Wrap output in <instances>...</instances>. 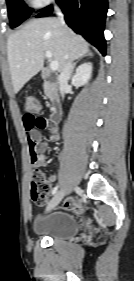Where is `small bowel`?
Listing matches in <instances>:
<instances>
[{
	"label": "small bowel",
	"mask_w": 134,
	"mask_h": 281,
	"mask_svg": "<svg viewBox=\"0 0 134 281\" xmlns=\"http://www.w3.org/2000/svg\"><path fill=\"white\" fill-rule=\"evenodd\" d=\"M23 125L28 138L29 155L32 167L40 168L48 166L49 161L45 154L48 149V143L43 139L40 131L44 128H48L50 140L57 142L60 139L57 126L49 123V121L43 117L36 116L34 112H27L24 114ZM56 179L57 174L53 173L48 177V182L53 183Z\"/></svg>",
	"instance_id": "1"
}]
</instances>
